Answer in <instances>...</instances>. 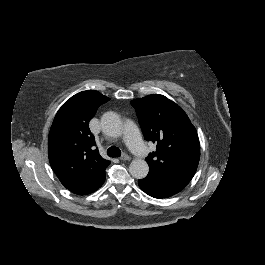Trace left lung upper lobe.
Listing matches in <instances>:
<instances>
[{"label": "left lung upper lobe", "mask_w": 265, "mask_h": 265, "mask_svg": "<svg viewBox=\"0 0 265 265\" xmlns=\"http://www.w3.org/2000/svg\"><path fill=\"white\" fill-rule=\"evenodd\" d=\"M147 141L157 144L146 159L149 173L165 179L190 181L200 158L196 129L177 104L163 95L131 101Z\"/></svg>", "instance_id": "obj_1"}]
</instances>
